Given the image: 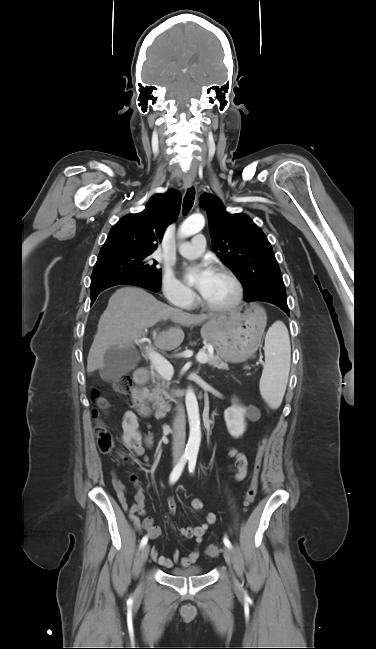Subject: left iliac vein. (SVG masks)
<instances>
[{"instance_id":"obj_1","label":"left iliac vein","mask_w":376,"mask_h":649,"mask_svg":"<svg viewBox=\"0 0 376 649\" xmlns=\"http://www.w3.org/2000/svg\"><path fill=\"white\" fill-rule=\"evenodd\" d=\"M223 556H224L225 561L228 564V566L231 567V564H232V552L230 551V549L228 547H224ZM233 582H234V586L236 588H239L240 584H239L238 580L235 577H233Z\"/></svg>"}]
</instances>
